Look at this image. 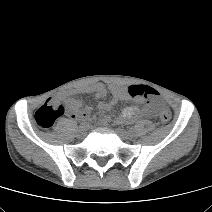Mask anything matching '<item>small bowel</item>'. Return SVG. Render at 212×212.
Masks as SVG:
<instances>
[{
	"mask_svg": "<svg viewBox=\"0 0 212 212\" xmlns=\"http://www.w3.org/2000/svg\"><path fill=\"white\" fill-rule=\"evenodd\" d=\"M87 94L96 97L104 98L108 94L111 95V100L107 102H100L99 108L105 111H111L119 101H127L130 99L135 100V104L126 107L118 116L119 121H136L141 119L142 116H151L154 113L153 108L145 106L143 100L139 97H131L128 89L125 87L111 85L107 87L103 83H96L88 86L83 90ZM68 116L75 120H88L91 107L86 105L81 98L71 97L67 99ZM109 118L105 117L104 122Z\"/></svg>",
	"mask_w": 212,
	"mask_h": 212,
	"instance_id": "c3829d8e",
	"label": "small bowel"
}]
</instances>
